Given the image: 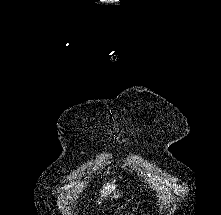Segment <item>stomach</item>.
<instances>
[{
    "label": "stomach",
    "mask_w": 221,
    "mask_h": 215,
    "mask_svg": "<svg viewBox=\"0 0 221 215\" xmlns=\"http://www.w3.org/2000/svg\"><path fill=\"white\" fill-rule=\"evenodd\" d=\"M123 192L119 191V190H116L113 192V196H111V198L113 199H118L122 196Z\"/></svg>",
    "instance_id": "1"
}]
</instances>
